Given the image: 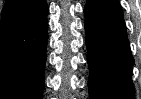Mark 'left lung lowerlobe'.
Listing matches in <instances>:
<instances>
[{"label":"left lung lower lobe","mask_w":141,"mask_h":99,"mask_svg":"<svg viewBox=\"0 0 141 99\" xmlns=\"http://www.w3.org/2000/svg\"><path fill=\"white\" fill-rule=\"evenodd\" d=\"M84 12L90 99H134V59L118 0H87Z\"/></svg>","instance_id":"obj_1"}]
</instances>
